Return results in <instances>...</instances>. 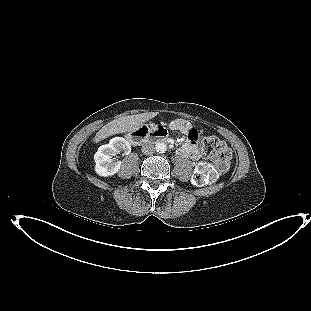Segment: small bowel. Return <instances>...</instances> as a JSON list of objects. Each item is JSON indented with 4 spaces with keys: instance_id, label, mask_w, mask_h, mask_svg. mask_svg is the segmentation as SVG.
<instances>
[{
    "instance_id": "1",
    "label": "small bowel",
    "mask_w": 311,
    "mask_h": 311,
    "mask_svg": "<svg viewBox=\"0 0 311 311\" xmlns=\"http://www.w3.org/2000/svg\"><path fill=\"white\" fill-rule=\"evenodd\" d=\"M170 127L186 135V139L179 148V154L197 160L200 152L197 146V132L185 119H174L170 122Z\"/></svg>"
}]
</instances>
